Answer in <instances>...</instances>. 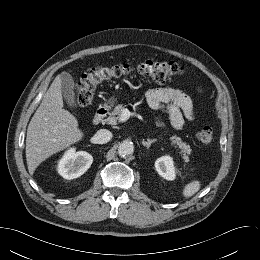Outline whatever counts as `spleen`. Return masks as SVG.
Returning <instances> with one entry per match:
<instances>
[{
  "label": "spleen",
  "mask_w": 260,
  "mask_h": 260,
  "mask_svg": "<svg viewBox=\"0 0 260 260\" xmlns=\"http://www.w3.org/2000/svg\"><path fill=\"white\" fill-rule=\"evenodd\" d=\"M201 183L198 180H193L186 184L183 189V196L189 198L199 191Z\"/></svg>",
  "instance_id": "1"
}]
</instances>
